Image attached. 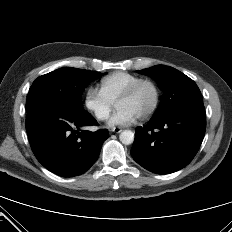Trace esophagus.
I'll list each match as a JSON object with an SVG mask.
<instances>
[{
    "label": "esophagus",
    "mask_w": 232,
    "mask_h": 232,
    "mask_svg": "<svg viewBox=\"0 0 232 232\" xmlns=\"http://www.w3.org/2000/svg\"><path fill=\"white\" fill-rule=\"evenodd\" d=\"M110 131L113 133H120L122 129L120 127H113L110 129Z\"/></svg>",
    "instance_id": "esophagus-1"
}]
</instances>
